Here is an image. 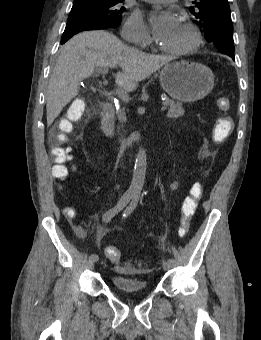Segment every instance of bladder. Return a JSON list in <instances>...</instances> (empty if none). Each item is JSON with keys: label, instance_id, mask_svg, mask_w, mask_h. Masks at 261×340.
<instances>
[{"label": "bladder", "instance_id": "obj_1", "mask_svg": "<svg viewBox=\"0 0 261 340\" xmlns=\"http://www.w3.org/2000/svg\"><path fill=\"white\" fill-rule=\"evenodd\" d=\"M112 282L115 288L125 294L144 293L147 291V283L140 278L128 276H114Z\"/></svg>", "mask_w": 261, "mask_h": 340}]
</instances>
